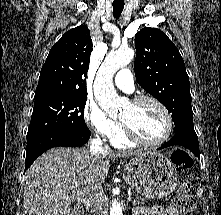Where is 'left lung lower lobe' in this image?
I'll use <instances>...</instances> for the list:
<instances>
[{
	"label": "left lung lower lobe",
	"instance_id": "obj_1",
	"mask_svg": "<svg viewBox=\"0 0 221 215\" xmlns=\"http://www.w3.org/2000/svg\"><path fill=\"white\" fill-rule=\"evenodd\" d=\"M174 145L184 146L188 148L195 156H200L198 137L195 131L176 133L167 143L158 149H163Z\"/></svg>",
	"mask_w": 221,
	"mask_h": 215
}]
</instances>
